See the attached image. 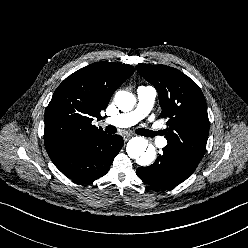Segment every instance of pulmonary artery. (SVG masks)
I'll return each instance as SVG.
<instances>
[{
	"mask_svg": "<svg viewBox=\"0 0 248 248\" xmlns=\"http://www.w3.org/2000/svg\"><path fill=\"white\" fill-rule=\"evenodd\" d=\"M157 96V91L152 86H140L137 89L138 104L137 107L130 112L121 113L113 117L105 119V123L116 127H129L143 120L151 111ZM153 132V131H151ZM156 135L154 134V137ZM161 146L167 144L165 139H159Z\"/></svg>",
	"mask_w": 248,
	"mask_h": 248,
	"instance_id": "1",
	"label": "pulmonary artery"
}]
</instances>
